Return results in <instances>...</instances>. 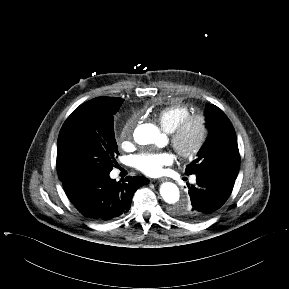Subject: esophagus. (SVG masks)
<instances>
[{
  "instance_id": "esophagus-1",
  "label": "esophagus",
  "mask_w": 289,
  "mask_h": 289,
  "mask_svg": "<svg viewBox=\"0 0 289 289\" xmlns=\"http://www.w3.org/2000/svg\"><path fill=\"white\" fill-rule=\"evenodd\" d=\"M165 180H166V178H159V179H158L159 182H163V181H165Z\"/></svg>"
}]
</instances>
